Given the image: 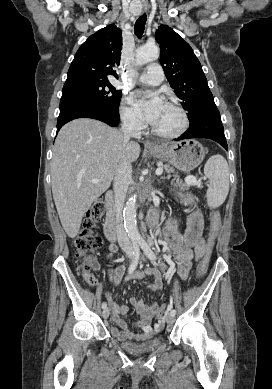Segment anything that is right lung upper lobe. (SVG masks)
I'll list each match as a JSON object with an SVG mask.
<instances>
[{"label":"right lung upper lobe","instance_id":"1","mask_svg":"<svg viewBox=\"0 0 272 389\" xmlns=\"http://www.w3.org/2000/svg\"><path fill=\"white\" fill-rule=\"evenodd\" d=\"M121 30L111 24L91 35L78 49L68 70L65 84L85 80H108L119 66Z\"/></svg>","mask_w":272,"mask_h":389}]
</instances>
